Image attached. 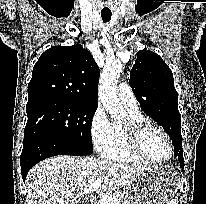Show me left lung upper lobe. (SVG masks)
<instances>
[{
    "mask_svg": "<svg viewBox=\"0 0 206 204\" xmlns=\"http://www.w3.org/2000/svg\"><path fill=\"white\" fill-rule=\"evenodd\" d=\"M129 83L142 110L169 135L174 154L183 151L178 93L168 65L154 52L139 51Z\"/></svg>",
    "mask_w": 206,
    "mask_h": 204,
    "instance_id": "5c2ea615",
    "label": "left lung upper lobe"
}]
</instances>
